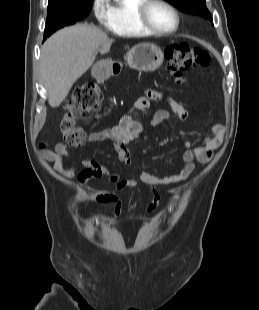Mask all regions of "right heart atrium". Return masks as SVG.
<instances>
[{
	"mask_svg": "<svg viewBox=\"0 0 259 310\" xmlns=\"http://www.w3.org/2000/svg\"><path fill=\"white\" fill-rule=\"evenodd\" d=\"M91 9L96 21L105 25L109 18V0H92Z\"/></svg>",
	"mask_w": 259,
	"mask_h": 310,
	"instance_id": "d8ad5b80",
	"label": "right heart atrium"
}]
</instances>
